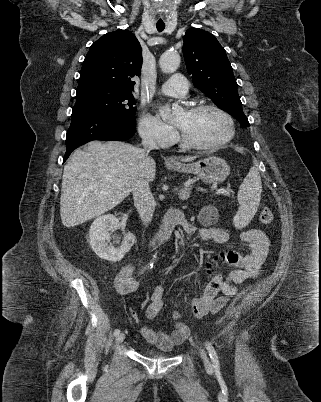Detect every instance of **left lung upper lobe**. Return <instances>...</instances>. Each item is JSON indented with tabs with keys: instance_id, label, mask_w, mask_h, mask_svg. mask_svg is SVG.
I'll list each match as a JSON object with an SVG mask.
<instances>
[{
	"instance_id": "left-lung-upper-lobe-1",
	"label": "left lung upper lobe",
	"mask_w": 321,
	"mask_h": 402,
	"mask_svg": "<svg viewBox=\"0 0 321 402\" xmlns=\"http://www.w3.org/2000/svg\"><path fill=\"white\" fill-rule=\"evenodd\" d=\"M183 55L195 86L220 109L229 112L243 126H249L231 64L216 37L204 30L190 28L184 36Z\"/></svg>"
}]
</instances>
